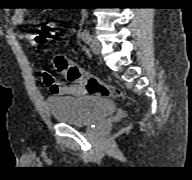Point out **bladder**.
<instances>
[{
    "instance_id": "bladder-1",
    "label": "bladder",
    "mask_w": 192,
    "mask_h": 180,
    "mask_svg": "<svg viewBox=\"0 0 192 180\" xmlns=\"http://www.w3.org/2000/svg\"><path fill=\"white\" fill-rule=\"evenodd\" d=\"M47 105L53 120L75 127L89 126L116 110L108 98L82 95L78 97H49Z\"/></svg>"
}]
</instances>
